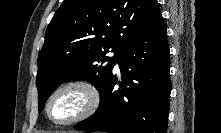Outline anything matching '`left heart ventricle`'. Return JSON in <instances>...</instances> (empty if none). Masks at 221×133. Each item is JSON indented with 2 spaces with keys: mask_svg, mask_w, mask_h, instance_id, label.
<instances>
[{
  "mask_svg": "<svg viewBox=\"0 0 221 133\" xmlns=\"http://www.w3.org/2000/svg\"><path fill=\"white\" fill-rule=\"evenodd\" d=\"M84 105L83 95L76 90L60 93L50 106V115L54 120L62 121L70 118Z\"/></svg>",
  "mask_w": 221,
  "mask_h": 133,
  "instance_id": "b2bd125f",
  "label": "left heart ventricle"
}]
</instances>
